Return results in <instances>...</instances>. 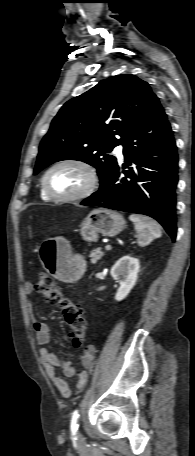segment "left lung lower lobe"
I'll return each instance as SVG.
<instances>
[{
  "label": "left lung lower lobe",
  "mask_w": 195,
  "mask_h": 456,
  "mask_svg": "<svg viewBox=\"0 0 195 456\" xmlns=\"http://www.w3.org/2000/svg\"><path fill=\"white\" fill-rule=\"evenodd\" d=\"M122 145L125 162H117L99 190L81 205L148 215L159 221L175 240L178 155L170 123L158 98L132 125ZM132 163L135 166L129 167Z\"/></svg>",
  "instance_id": "left-lung-lower-lobe-1"
}]
</instances>
